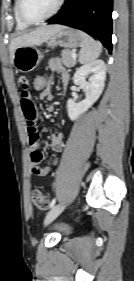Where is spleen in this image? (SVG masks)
<instances>
[{
	"mask_svg": "<svg viewBox=\"0 0 134 281\" xmlns=\"http://www.w3.org/2000/svg\"><path fill=\"white\" fill-rule=\"evenodd\" d=\"M81 37L82 43L79 53V61L82 64L93 62L102 52V44L84 32H81Z\"/></svg>",
	"mask_w": 134,
	"mask_h": 281,
	"instance_id": "3e777b00",
	"label": "spleen"
}]
</instances>
